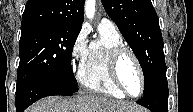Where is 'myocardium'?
Segmentation results:
<instances>
[{
  "instance_id": "1",
  "label": "myocardium",
  "mask_w": 193,
  "mask_h": 112,
  "mask_svg": "<svg viewBox=\"0 0 193 112\" xmlns=\"http://www.w3.org/2000/svg\"><path fill=\"white\" fill-rule=\"evenodd\" d=\"M126 55L130 56L133 59L135 65H136L139 77H140L141 87H140V91L137 95L131 94L126 89V87L123 84L121 77H120L119 65H120L122 58ZM108 70H109V75H110L112 82L125 96L134 98V97L140 96L144 92V90H145V76H144V72H143L141 63L139 61V58L135 54V52L131 48H129L128 46L120 45V46H117L111 50V52L109 54V59H108Z\"/></svg>"
}]
</instances>
